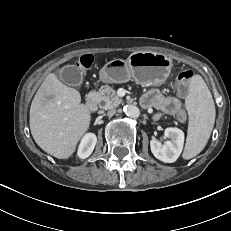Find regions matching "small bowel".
I'll list each match as a JSON object with an SVG mask.
<instances>
[{
  "mask_svg": "<svg viewBox=\"0 0 231 231\" xmlns=\"http://www.w3.org/2000/svg\"><path fill=\"white\" fill-rule=\"evenodd\" d=\"M145 107H154L159 113L155 115L158 119L162 115H175L181 112V103L175 97H166L157 90L147 92L142 98Z\"/></svg>",
  "mask_w": 231,
  "mask_h": 231,
  "instance_id": "obj_1",
  "label": "small bowel"
}]
</instances>
